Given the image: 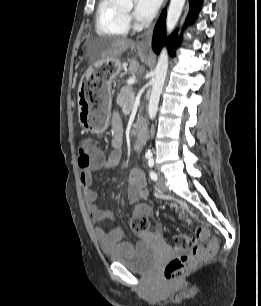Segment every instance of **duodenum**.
Instances as JSON below:
<instances>
[{"label":"duodenum","mask_w":261,"mask_h":306,"mask_svg":"<svg viewBox=\"0 0 261 306\" xmlns=\"http://www.w3.org/2000/svg\"><path fill=\"white\" fill-rule=\"evenodd\" d=\"M137 128V137L134 141V148L141 150L143 147V141L146 135V123L143 118H138L135 122Z\"/></svg>","instance_id":"1"}]
</instances>
